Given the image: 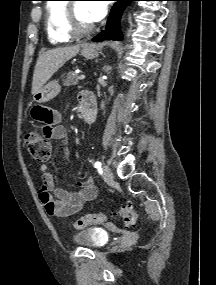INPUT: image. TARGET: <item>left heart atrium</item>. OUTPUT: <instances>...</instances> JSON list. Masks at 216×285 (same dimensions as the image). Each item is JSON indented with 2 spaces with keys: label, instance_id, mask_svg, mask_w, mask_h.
Listing matches in <instances>:
<instances>
[{
  "label": "left heart atrium",
  "instance_id": "left-heart-atrium-1",
  "mask_svg": "<svg viewBox=\"0 0 216 285\" xmlns=\"http://www.w3.org/2000/svg\"><path fill=\"white\" fill-rule=\"evenodd\" d=\"M106 1H89L85 4L86 15L91 23L100 21L107 13Z\"/></svg>",
  "mask_w": 216,
  "mask_h": 285
}]
</instances>
